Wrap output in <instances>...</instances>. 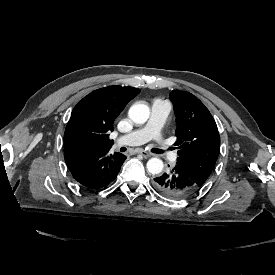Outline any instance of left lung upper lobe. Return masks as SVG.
<instances>
[{
  "instance_id": "1",
  "label": "left lung upper lobe",
  "mask_w": 275,
  "mask_h": 275,
  "mask_svg": "<svg viewBox=\"0 0 275 275\" xmlns=\"http://www.w3.org/2000/svg\"><path fill=\"white\" fill-rule=\"evenodd\" d=\"M170 100L176 116L179 149L177 165L199 187L214 169L220 152V135L209 110L189 92L173 90Z\"/></svg>"
}]
</instances>
